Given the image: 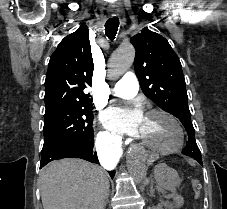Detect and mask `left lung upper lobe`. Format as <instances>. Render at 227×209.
Instances as JSON below:
<instances>
[{"mask_svg":"<svg viewBox=\"0 0 227 209\" xmlns=\"http://www.w3.org/2000/svg\"><path fill=\"white\" fill-rule=\"evenodd\" d=\"M130 41L136 49L134 69L143 93L181 121L188 132V142L182 153L202 161L178 56L164 37L147 27Z\"/></svg>","mask_w":227,"mask_h":209,"instance_id":"1","label":"left lung upper lobe"}]
</instances>
